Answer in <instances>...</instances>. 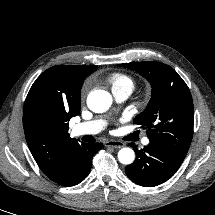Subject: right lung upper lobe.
I'll use <instances>...</instances> for the list:
<instances>
[{
	"instance_id": "right-lung-upper-lobe-1",
	"label": "right lung upper lobe",
	"mask_w": 215,
	"mask_h": 215,
	"mask_svg": "<svg viewBox=\"0 0 215 215\" xmlns=\"http://www.w3.org/2000/svg\"><path fill=\"white\" fill-rule=\"evenodd\" d=\"M97 66L57 65L33 83L24 103L23 127L28 147L52 181L65 177L70 152L79 145L68 133L70 118L80 112L84 79Z\"/></svg>"
}]
</instances>
